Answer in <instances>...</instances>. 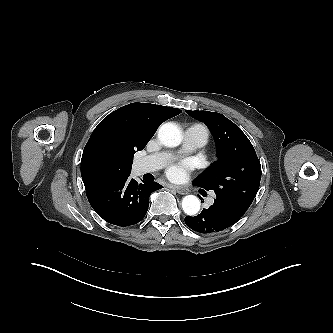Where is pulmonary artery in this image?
I'll return each mask as SVG.
<instances>
[{
	"instance_id": "pulmonary-artery-1",
	"label": "pulmonary artery",
	"mask_w": 333,
	"mask_h": 333,
	"mask_svg": "<svg viewBox=\"0 0 333 333\" xmlns=\"http://www.w3.org/2000/svg\"><path fill=\"white\" fill-rule=\"evenodd\" d=\"M208 140L207 129L201 124H193L184 132L181 152L187 153L204 146ZM172 154L168 152L156 153L142 158L137 162V170L140 174L151 173L162 168Z\"/></svg>"
}]
</instances>
